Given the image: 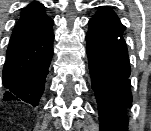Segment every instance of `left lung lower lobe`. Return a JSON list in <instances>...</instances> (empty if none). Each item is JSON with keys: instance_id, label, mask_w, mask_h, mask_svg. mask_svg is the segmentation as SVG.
Instances as JSON below:
<instances>
[{"instance_id": "obj_1", "label": "left lung lower lobe", "mask_w": 151, "mask_h": 131, "mask_svg": "<svg viewBox=\"0 0 151 131\" xmlns=\"http://www.w3.org/2000/svg\"><path fill=\"white\" fill-rule=\"evenodd\" d=\"M125 26L109 7L89 21L86 36L92 89L98 103L101 131H127V108L132 102Z\"/></svg>"}]
</instances>
